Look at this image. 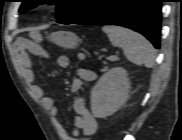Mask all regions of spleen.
I'll list each match as a JSON object with an SVG mask.
<instances>
[{
    "label": "spleen",
    "mask_w": 182,
    "mask_h": 140,
    "mask_svg": "<svg viewBox=\"0 0 182 140\" xmlns=\"http://www.w3.org/2000/svg\"><path fill=\"white\" fill-rule=\"evenodd\" d=\"M102 30L107 34L115 47L123 49L127 59L138 65L151 68L155 64V49L152 44L139 33L124 27L110 25Z\"/></svg>",
    "instance_id": "3e777b00"
}]
</instances>
